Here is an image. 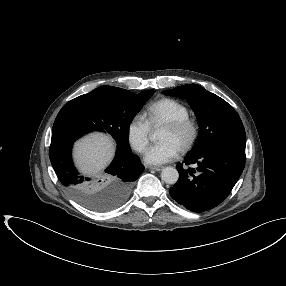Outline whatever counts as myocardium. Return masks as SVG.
Wrapping results in <instances>:
<instances>
[{"label": "myocardium", "mask_w": 286, "mask_h": 286, "mask_svg": "<svg viewBox=\"0 0 286 286\" xmlns=\"http://www.w3.org/2000/svg\"><path fill=\"white\" fill-rule=\"evenodd\" d=\"M164 126L178 131H187V137L180 146L182 151H186L194 145L200 132L198 121L190 116L169 120L164 123Z\"/></svg>", "instance_id": "f54148a6"}]
</instances>
